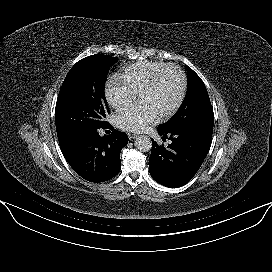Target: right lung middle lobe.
<instances>
[{
  "mask_svg": "<svg viewBox=\"0 0 272 272\" xmlns=\"http://www.w3.org/2000/svg\"><path fill=\"white\" fill-rule=\"evenodd\" d=\"M117 61L108 55H91L68 72L56 102L58 138H78L104 127L109 111L104 86L110 67Z\"/></svg>",
  "mask_w": 272,
  "mask_h": 272,
  "instance_id": "1",
  "label": "right lung middle lobe"
}]
</instances>
